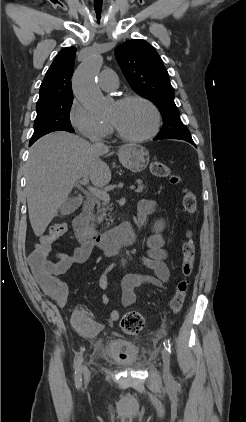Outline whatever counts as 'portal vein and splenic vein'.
I'll return each mask as SVG.
<instances>
[{"label":"portal vein and splenic vein","instance_id":"18ae733b","mask_svg":"<svg viewBox=\"0 0 246 422\" xmlns=\"http://www.w3.org/2000/svg\"><path fill=\"white\" fill-rule=\"evenodd\" d=\"M80 183L83 184V185H87V188H88L89 192L91 194H93L94 196H96L97 198H99V199H101L103 201H109L110 200V196H109V194L106 191H103V190H100L98 188H95V187H92V186H89L88 185L89 178H88L87 175H85V176L82 177V180L80 181ZM130 189L131 190L132 189H135V186L134 185L130 186Z\"/></svg>","mask_w":246,"mask_h":422}]
</instances>
